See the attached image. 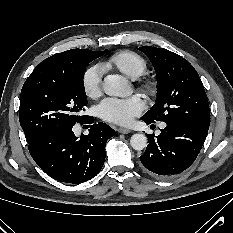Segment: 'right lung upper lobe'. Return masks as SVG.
Here are the masks:
<instances>
[{
    "label": "right lung upper lobe",
    "instance_id": "1",
    "mask_svg": "<svg viewBox=\"0 0 233 233\" xmlns=\"http://www.w3.org/2000/svg\"><path fill=\"white\" fill-rule=\"evenodd\" d=\"M91 51L87 49H72L62 53H57L44 61H42L38 66L47 69H58L65 66L67 62L68 55L73 52ZM95 52V51H91Z\"/></svg>",
    "mask_w": 233,
    "mask_h": 233
}]
</instances>
